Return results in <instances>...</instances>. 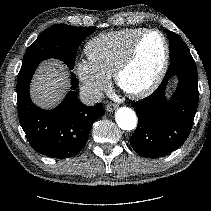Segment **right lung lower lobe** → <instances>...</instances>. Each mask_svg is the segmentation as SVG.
<instances>
[{
  "instance_id": "1",
  "label": "right lung lower lobe",
  "mask_w": 211,
  "mask_h": 211,
  "mask_svg": "<svg viewBox=\"0 0 211 211\" xmlns=\"http://www.w3.org/2000/svg\"><path fill=\"white\" fill-rule=\"evenodd\" d=\"M39 63L20 69L17 104L20 124L30 145L39 153L65 159L79 153L88 139L94 121L105 114L101 103L88 107L70 91L52 110L37 107L30 99L29 85ZM72 86L78 85L72 74Z\"/></svg>"
}]
</instances>
